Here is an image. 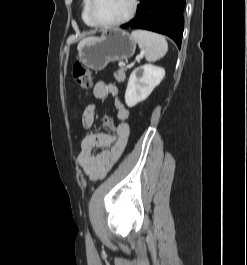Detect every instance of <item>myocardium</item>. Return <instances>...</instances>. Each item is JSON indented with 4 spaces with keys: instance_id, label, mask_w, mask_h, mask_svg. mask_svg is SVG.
I'll list each match as a JSON object with an SVG mask.
<instances>
[{
    "instance_id": "f54148a6",
    "label": "myocardium",
    "mask_w": 247,
    "mask_h": 265,
    "mask_svg": "<svg viewBox=\"0 0 247 265\" xmlns=\"http://www.w3.org/2000/svg\"><path fill=\"white\" fill-rule=\"evenodd\" d=\"M139 2H140L139 0H132V5L129 13L122 19H119L112 23H102L96 19L94 14L95 0H89L88 14L94 26L103 29L116 28L130 22L135 17L139 8Z\"/></svg>"
}]
</instances>
